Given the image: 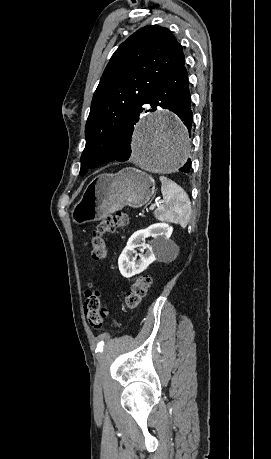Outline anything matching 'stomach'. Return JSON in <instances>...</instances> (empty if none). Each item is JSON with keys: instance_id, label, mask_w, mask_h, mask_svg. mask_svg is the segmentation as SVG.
Masks as SVG:
<instances>
[{"instance_id": "1", "label": "stomach", "mask_w": 271, "mask_h": 459, "mask_svg": "<svg viewBox=\"0 0 271 459\" xmlns=\"http://www.w3.org/2000/svg\"><path fill=\"white\" fill-rule=\"evenodd\" d=\"M154 192L153 178L136 168H124L118 174H100L75 204L71 212L72 220L81 226L107 218L124 206L141 208L151 200Z\"/></svg>"}]
</instances>
